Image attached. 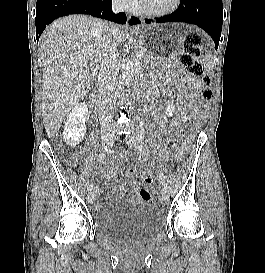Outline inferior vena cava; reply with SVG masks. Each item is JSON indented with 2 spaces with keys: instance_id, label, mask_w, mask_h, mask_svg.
<instances>
[{
  "instance_id": "obj_1",
  "label": "inferior vena cava",
  "mask_w": 265,
  "mask_h": 273,
  "mask_svg": "<svg viewBox=\"0 0 265 273\" xmlns=\"http://www.w3.org/2000/svg\"><path fill=\"white\" fill-rule=\"evenodd\" d=\"M128 0H113L112 9L115 13L124 11L127 8ZM101 41L103 60L99 70V88L97 94V111L101 124V133L111 134L113 126L112 116V93L118 74L119 52L116 43L115 26L102 23Z\"/></svg>"
}]
</instances>
